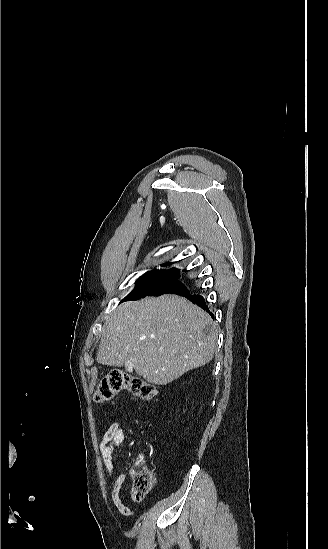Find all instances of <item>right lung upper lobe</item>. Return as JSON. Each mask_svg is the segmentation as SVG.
Segmentation results:
<instances>
[{
  "instance_id": "obj_1",
  "label": "right lung upper lobe",
  "mask_w": 328,
  "mask_h": 549,
  "mask_svg": "<svg viewBox=\"0 0 328 549\" xmlns=\"http://www.w3.org/2000/svg\"><path fill=\"white\" fill-rule=\"evenodd\" d=\"M166 271H169V272H179V270H177V269H170V270H166Z\"/></svg>"
}]
</instances>
